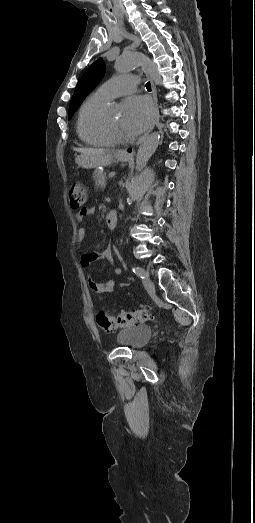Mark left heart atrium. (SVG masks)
<instances>
[{"label": "left heart atrium", "instance_id": "obj_1", "mask_svg": "<svg viewBox=\"0 0 255 523\" xmlns=\"http://www.w3.org/2000/svg\"><path fill=\"white\" fill-rule=\"evenodd\" d=\"M153 105L145 96H131L124 106V121L130 133H140L153 117Z\"/></svg>", "mask_w": 255, "mask_h": 523}]
</instances>
